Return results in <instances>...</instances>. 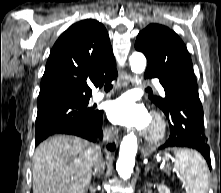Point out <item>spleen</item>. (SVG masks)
<instances>
[{"label": "spleen", "mask_w": 221, "mask_h": 193, "mask_svg": "<svg viewBox=\"0 0 221 193\" xmlns=\"http://www.w3.org/2000/svg\"><path fill=\"white\" fill-rule=\"evenodd\" d=\"M174 154L173 170L183 182L186 193H207L208 167L204 158L185 146H176Z\"/></svg>", "instance_id": "1"}]
</instances>
